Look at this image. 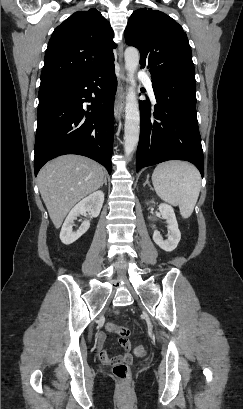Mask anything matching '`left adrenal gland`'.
Masks as SVG:
<instances>
[{"label": "left adrenal gland", "instance_id": "obj_1", "mask_svg": "<svg viewBox=\"0 0 243 409\" xmlns=\"http://www.w3.org/2000/svg\"><path fill=\"white\" fill-rule=\"evenodd\" d=\"M146 185H148L152 189V186H151V184L149 182V176H147V179H146L145 183L143 184V186H146Z\"/></svg>", "mask_w": 243, "mask_h": 409}]
</instances>
